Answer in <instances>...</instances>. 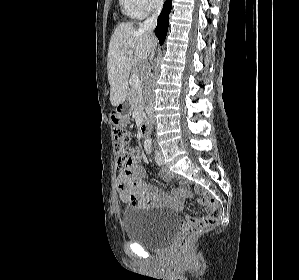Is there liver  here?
<instances>
[{"instance_id":"liver-1","label":"liver","mask_w":299,"mask_h":280,"mask_svg":"<svg viewBox=\"0 0 299 280\" xmlns=\"http://www.w3.org/2000/svg\"><path fill=\"white\" fill-rule=\"evenodd\" d=\"M156 43V38L145 31L142 24L120 23L116 27L110 39L107 58L112 106H118L126 100L132 66L145 63Z\"/></svg>"}]
</instances>
